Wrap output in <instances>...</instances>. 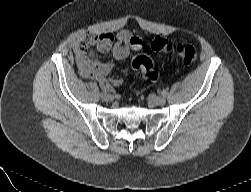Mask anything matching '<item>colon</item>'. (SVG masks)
<instances>
[{
  "mask_svg": "<svg viewBox=\"0 0 251 192\" xmlns=\"http://www.w3.org/2000/svg\"><path fill=\"white\" fill-rule=\"evenodd\" d=\"M151 48L157 52L175 51L186 65L192 64L198 59V52L192 45L180 43L174 46L164 37H156L151 43ZM132 67L144 80H155L158 76L152 59L147 55L135 56L132 60Z\"/></svg>",
  "mask_w": 251,
  "mask_h": 192,
  "instance_id": "obj_1",
  "label": "colon"
}]
</instances>
